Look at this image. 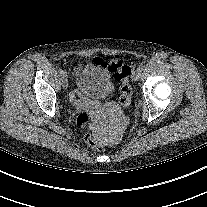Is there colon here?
I'll list each match as a JSON object with an SVG mask.
<instances>
[{"label":"colon","instance_id":"5ec220e1","mask_svg":"<svg viewBox=\"0 0 207 207\" xmlns=\"http://www.w3.org/2000/svg\"><path fill=\"white\" fill-rule=\"evenodd\" d=\"M106 70L112 74L120 86V103L123 107H128L131 101L132 89L129 84V77L132 69L122 58H115L104 64ZM91 117L87 112H81L76 118L78 127L85 128L90 124ZM85 143L92 149L101 151L104 148L103 143L92 133L87 132L84 136Z\"/></svg>","mask_w":207,"mask_h":207}]
</instances>
